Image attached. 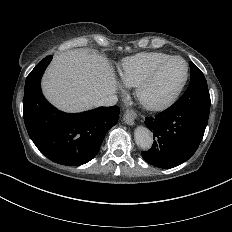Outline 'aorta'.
<instances>
[{
	"label": "aorta",
	"instance_id": "aorta-1",
	"mask_svg": "<svg viewBox=\"0 0 232 232\" xmlns=\"http://www.w3.org/2000/svg\"><path fill=\"white\" fill-rule=\"evenodd\" d=\"M134 138L136 144L143 150L150 149L153 144L152 133L144 126H139L135 129Z\"/></svg>",
	"mask_w": 232,
	"mask_h": 232
}]
</instances>
